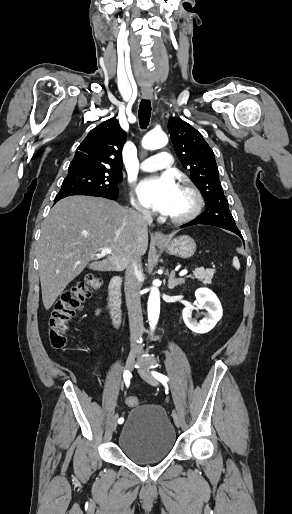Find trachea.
<instances>
[{"label": "trachea", "instance_id": "1", "mask_svg": "<svg viewBox=\"0 0 292 514\" xmlns=\"http://www.w3.org/2000/svg\"><path fill=\"white\" fill-rule=\"evenodd\" d=\"M151 103L150 100H141L139 105V123L142 129L148 127L151 117Z\"/></svg>", "mask_w": 292, "mask_h": 514}]
</instances>
